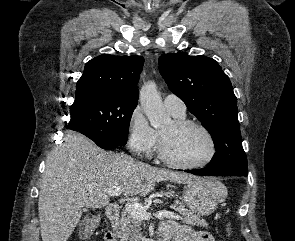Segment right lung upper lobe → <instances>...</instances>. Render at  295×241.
Listing matches in <instances>:
<instances>
[{"label":"right lung upper lobe","instance_id":"right-lung-upper-lobe-1","mask_svg":"<svg viewBox=\"0 0 295 241\" xmlns=\"http://www.w3.org/2000/svg\"><path fill=\"white\" fill-rule=\"evenodd\" d=\"M144 64L142 56H114L102 54L87 62L83 75L77 82L76 99L102 92L113 97L138 101L140 73Z\"/></svg>","mask_w":295,"mask_h":241}]
</instances>
